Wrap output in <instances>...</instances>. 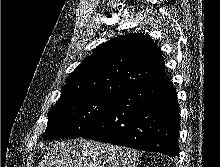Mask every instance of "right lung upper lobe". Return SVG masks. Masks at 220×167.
<instances>
[{
	"label": "right lung upper lobe",
	"instance_id": "obj_1",
	"mask_svg": "<svg viewBox=\"0 0 220 167\" xmlns=\"http://www.w3.org/2000/svg\"><path fill=\"white\" fill-rule=\"evenodd\" d=\"M166 76L158 46L142 33H129L100 44L69 75L60 99L117 96Z\"/></svg>",
	"mask_w": 220,
	"mask_h": 167
}]
</instances>
